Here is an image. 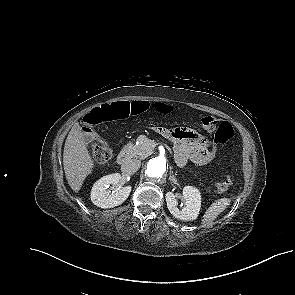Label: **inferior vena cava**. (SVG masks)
<instances>
[{
	"mask_svg": "<svg viewBox=\"0 0 295 295\" xmlns=\"http://www.w3.org/2000/svg\"><path fill=\"white\" fill-rule=\"evenodd\" d=\"M141 166V161L137 159H130L127 160L125 163L122 164L121 170L124 174H133L138 171Z\"/></svg>",
	"mask_w": 295,
	"mask_h": 295,
	"instance_id": "1",
	"label": "inferior vena cava"
}]
</instances>
